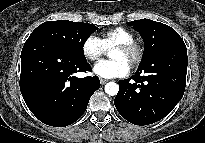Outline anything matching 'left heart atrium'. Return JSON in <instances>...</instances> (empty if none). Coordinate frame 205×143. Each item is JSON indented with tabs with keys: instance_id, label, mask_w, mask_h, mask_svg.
Here are the masks:
<instances>
[{
	"instance_id": "39dd6f15",
	"label": "left heart atrium",
	"mask_w": 205,
	"mask_h": 143,
	"mask_svg": "<svg viewBox=\"0 0 205 143\" xmlns=\"http://www.w3.org/2000/svg\"><path fill=\"white\" fill-rule=\"evenodd\" d=\"M130 66L121 59L102 60L93 67L94 73L102 78L123 77L129 73Z\"/></svg>"
}]
</instances>
